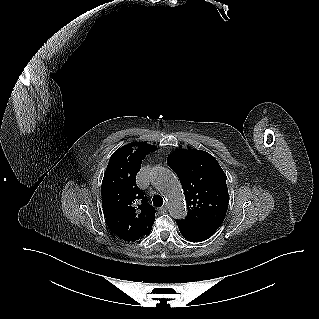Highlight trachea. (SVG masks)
I'll use <instances>...</instances> for the list:
<instances>
[{
    "instance_id": "1",
    "label": "trachea",
    "mask_w": 319,
    "mask_h": 319,
    "mask_svg": "<svg viewBox=\"0 0 319 319\" xmlns=\"http://www.w3.org/2000/svg\"><path fill=\"white\" fill-rule=\"evenodd\" d=\"M152 201L155 207H161L163 205V198L160 195H154Z\"/></svg>"
}]
</instances>
